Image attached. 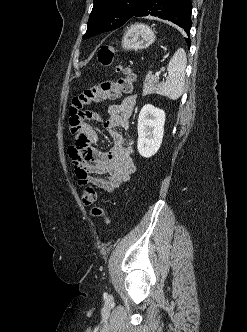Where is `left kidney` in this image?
<instances>
[{"label": "left kidney", "mask_w": 247, "mask_h": 332, "mask_svg": "<svg viewBox=\"0 0 247 332\" xmlns=\"http://www.w3.org/2000/svg\"><path fill=\"white\" fill-rule=\"evenodd\" d=\"M165 124V112L151 104L143 106L138 118L137 149L141 156L152 157L160 148Z\"/></svg>", "instance_id": "obj_1"}]
</instances>
